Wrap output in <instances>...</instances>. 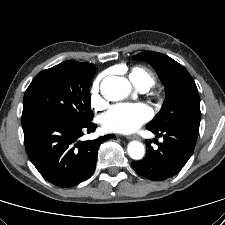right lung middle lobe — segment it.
Returning <instances> with one entry per match:
<instances>
[{
  "label": "right lung middle lobe",
  "mask_w": 225,
  "mask_h": 225,
  "mask_svg": "<svg viewBox=\"0 0 225 225\" xmlns=\"http://www.w3.org/2000/svg\"><path fill=\"white\" fill-rule=\"evenodd\" d=\"M94 73V64L77 61L41 71L25 92L23 113L50 112L79 124L91 121L88 92Z\"/></svg>",
  "instance_id": "obj_1"
}]
</instances>
